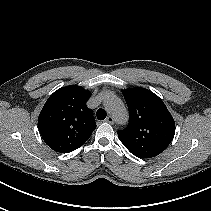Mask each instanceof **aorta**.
Returning a JSON list of instances; mask_svg holds the SVG:
<instances>
[{"instance_id": "aorta-1", "label": "aorta", "mask_w": 211, "mask_h": 211, "mask_svg": "<svg viewBox=\"0 0 211 211\" xmlns=\"http://www.w3.org/2000/svg\"><path fill=\"white\" fill-rule=\"evenodd\" d=\"M106 109L121 123L128 120V113L123 102L116 96H108L104 102Z\"/></svg>"}]
</instances>
